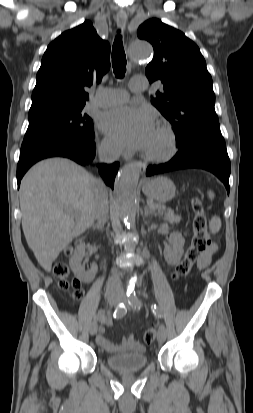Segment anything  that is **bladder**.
<instances>
[{"label":"bladder","instance_id":"obj_1","mask_svg":"<svg viewBox=\"0 0 253 413\" xmlns=\"http://www.w3.org/2000/svg\"><path fill=\"white\" fill-rule=\"evenodd\" d=\"M108 366L119 372H131L143 369L148 358L142 349L110 355L106 358Z\"/></svg>","mask_w":253,"mask_h":413}]
</instances>
